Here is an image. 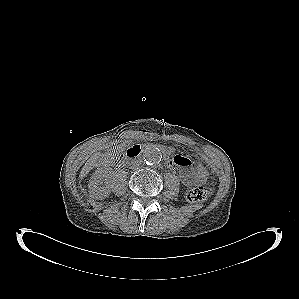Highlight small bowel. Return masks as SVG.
Segmentation results:
<instances>
[{
    "mask_svg": "<svg viewBox=\"0 0 299 299\" xmlns=\"http://www.w3.org/2000/svg\"><path fill=\"white\" fill-rule=\"evenodd\" d=\"M172 165H175L179 168L182 182L185 185L191 186L196 183L192 169L190 168V161L188 158L181 155H176L172 159Z\"/></svg>",
    "mask_w": 299,
    "mask_h": 299,
    "instance_id": "1",
    "label": "small bowel"
}]
</instances>
